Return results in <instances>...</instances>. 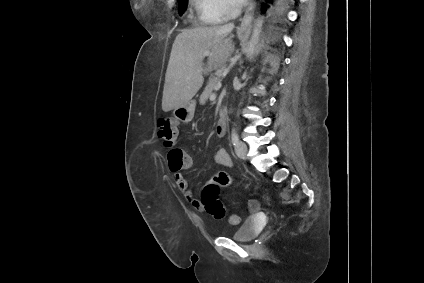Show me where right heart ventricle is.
Segmentation results:
<instances>
[{"label":"right heart ventricle","instance_id":"obj_1","mask_svg":"<svg viewBox=\"0 0 424 283\" xmlns=\"http://www.w3.org/2000/svg\"><path fill=\"white\" fill-rule=\"evenodd\" d=\"M207 23H215V22H217V19H215V18H210V19H207V20H205Z\"/></svg>","mask_w":424,"mask_h":283}]
</instances>
